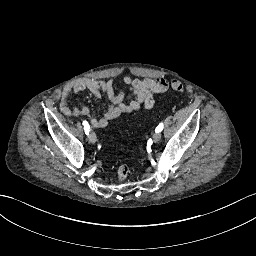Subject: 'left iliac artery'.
Listing matches in <instances>:
<instances>
[{"label":"left iliac artery","mask_w":256,"mask_h":256,"mask_svg":"<svg viewBox=\"0 0 256 256\" xmlns=\"http://www.w3.org/2000/svg\"><path fill=\"white\" fill-rule=\"evenodd\" d=\"M162 130H163V123H160V124L156 127L155 131H156V132H161Z\"/></svg>","instance_id":"1"}]
</instances>
